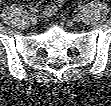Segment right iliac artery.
Segmentation results:
<instances>
[{"label":"right iliac artery","mask_w":111,"mask_h":106,"mask_svg":"<svg viewBox=\"0 0 111 106\" xmlns=\"http://www.w3.org/2000/svg\"><path fill=\"white\" fill-rule=\"evenodd\" d=\"M30 12L33 13V14H35L37 12V10L35 8H31Z\"/></svg>","instance_id":"obj_1"}]
</instances>
